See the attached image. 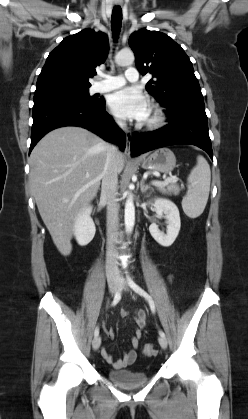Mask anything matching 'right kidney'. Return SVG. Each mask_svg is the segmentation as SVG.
<instances>
[{"label":"right kidney","instance_id":"1","mask_svg":"<svg viewBox=\"0 0 248 419\" xmlns=\"http://www.w3.org/2000/svg\"><path fill=\"white\" fill-rule=\"evenodd\" d=\"M92 206L87 205L80 210L75 218L74 235L80 246H85L94 238L96 228L91 218Z\"/></svg>","mask_w":248,"mask_h":419}]
</instances>
